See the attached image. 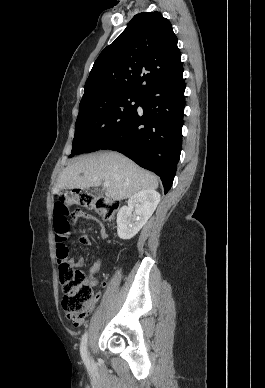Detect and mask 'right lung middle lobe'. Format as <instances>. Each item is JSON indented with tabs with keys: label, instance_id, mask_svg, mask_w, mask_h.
Returning <instances> with one entry per match:
<instances>
[{
	"label": "right lung middle lobe",
	"instance_id": "right-lung-middle-lobe-1",
	"mask_svg": "<svg viewBox=\"0 0 265 388\" xmlns=\"http://www.w3.org/2000/svg\"><path fill=\"white\" fill-rule=\"evenodd\" d=\"M140 98L139 94L109 90L82 98L69 157L99 150L137 110Z\"/></svg>",
	"mask_w": 265,
	"mask_h": 388
}]
</instances>
